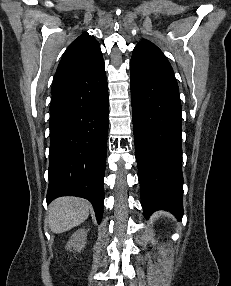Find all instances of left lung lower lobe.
I'll list each match as a JSON object with an SVG mask.
<instances>
[{"instance_id":"obj_1","label":"left lung lower lobe","mask_w":231,"mask_h":286,"mask_svg":"<svg viewBox=\"0 0 231 286\" xmlns=\"http://www.w3.org/2000/svg\"><path fill=\"white\" fill-rule=\"evenodd\" d=\"M131 99L144 215H183L181 103L173 73L130 61Z\"/></svg>"}]
</instances>
